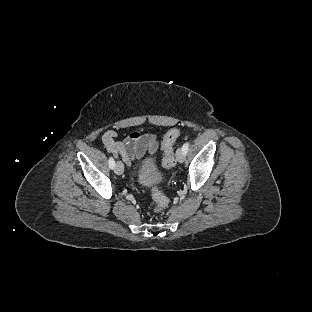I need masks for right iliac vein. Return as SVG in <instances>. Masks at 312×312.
<instances>
[{"label": "right iliac vein", "mask_w": 312, "mask_h": 312, "mask_svg": "<svg viewBox=\"0 0 312 312\" xmlns=\"http://www.w3.org/2000/svg\"><path fill=\"white\" fill-rule=\"evenodd\" d=\"M115 173L117 175H121L123 173V164L120 160H118L115 164Z\"/></svg>", "instance_id": "1"}]
</instances>
